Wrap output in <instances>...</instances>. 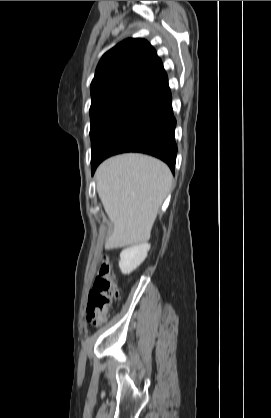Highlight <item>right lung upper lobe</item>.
I'll list each match as a JSON object with an SVG mask.
<instances>
[{
    "instance_id": "right-lung-upper-lobe-1",
    "label": "right lung upper lobe",
    "mask_w": 271,
    "mask_h": 418,
    "mask_svg": "<svg viewBox=\"0 0 271 418\" xmlns=\"http://www.w3.org/2000/svg\"><path fill=\"white\" fill-rule=\"evenodd\" d=\"M90 88L91 105L119 97L154 104L171 94L161 59L139 38L126 39L103 55Z\"/></svg>"
}]
</instances>
